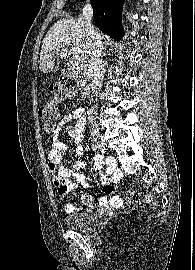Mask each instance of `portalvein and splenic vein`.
I'll list each match as a JSON object with an SVG mask.
<instances>
[{"label":"portal vein and splenic vein","instance_id":"portal-vein-and-splenic-vein-1","mask_svg":"<svg viewBox=\"0 0 195 270\" xmlns=\"http://www.w3.org/2000/svg\"><path fill=\"white\" fill-rule=\"evenodd\" d=\"M63 42H64V44H66V45H71V41H70L69 39H65V40H63ZM70 53H71V55H72L73 57H79V55H80V50L72 49Z\"/></svg>","mask_w":195,"mask_h":270}]
</instances>
